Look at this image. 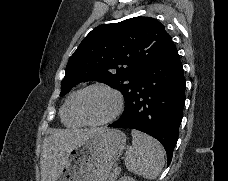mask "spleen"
Returning <instances> with one entry per match:
<instances>
[{
  "label": "spleen",
  "mask_w": 228,
  "mask_h": 181,
  "mask_svg": "<svg viewBox=\"0 0 228 181\" xmlns=\"http://www.w3.org/2000/svg\"><path fill=\"white\" fill-rule=\"evenodd\" d=\"M131 135L132 147L126 153L125 165L130 173L153 181L164 167V149L159 141L140 131H131Z\"/></svg>",
  "instance_id": "obj_1"
}]
</instances>
